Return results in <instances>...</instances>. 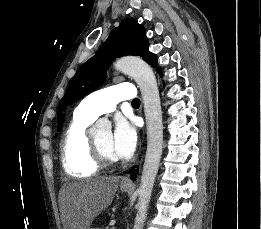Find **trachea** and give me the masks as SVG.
<instances>
[{
	"mask_svg": "<svg viewBox=\"0 0 261 229\" xmlns=\"http://www.w3.org/2000/svg\"><path fill=\"white\" fill-rule=\"evenodd\" d=\"M135 104H140V100L139 99L132 100V105H135Z\"/></svg>",
	"mask_w": 261,
	"mask_h": 229,
	"instance_id": "1",
	"label": "trachea"
}]
</instances>
